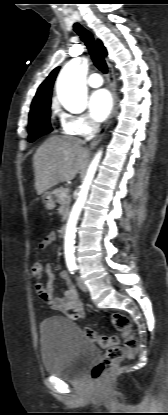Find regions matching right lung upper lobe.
I'll list each match as a JSON object with an SVG mask.
<instances>
[{
  "instance_id": "1",
  "label": "right lung upper lobe",
  "mask_w": 168,
  "mask_h": 415,
  "mask_svg": "<svg viewBox=\"0 0 168 415\" xmlns=\"http://www.w3.org/2000/svg\"><path fill=\"white\" fill-rule=\"evenodd\" d=\"M98 43H99V46L102 52L104 53V55H106V50L103 47L101 41L98 40ZM58 71H59V67L55 68L50 73V75L46 78V80L39 86L37 93L32 101L30 112L51 103L50 99H51L52 87H53V83L57 76Z\"/></svg>"
}]
</instances>
